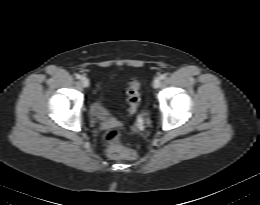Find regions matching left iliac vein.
Wrapping results in <instances>:
<instances>
[{
  "label": "left iliac vein",
  "mask_w": 260,
  "mask_h": 205,
  "mask_svg": "<svg viewBox=\"0 0 260 205\" xmlns=\"http://www.w3.org/2000/svg\"><path fill=\"white\" fill-rule=\"evenodd\" d=\"M161 85V79L160 78H155L153 81V87L154 88H159Z\"/></svg>",
  "instance_id": "1"
}]
</instances>
